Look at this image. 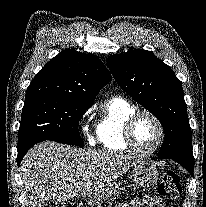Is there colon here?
Returning <instances> with one entry per match:
<instances>
[{"label":"colon","instance_id":"obj_1","mask_svg":"<svg viewBox=\"0 0 206 207\" xmlns=\"http://www.w3.org/2000/svg\"><path fill=\"white\" fill-rule=\"evenodd\" d=\"M158 194L172 200L179 199L182 195V184L180 176L172 170L164 173L157 188ZM61 207H74L72 204H65Z\"/></svg>","mask_w":206,"mask_h":207}]
</instances>
